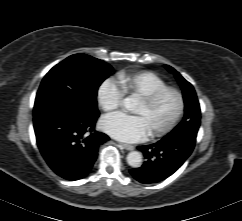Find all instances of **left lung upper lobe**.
Listing matches in <instances>:
<instances>
[{
	"instance_id": "left-lung-upper-lobe-1",
	"label": "left lung upper lobe",
	"mask_w": 242,
	"mask_h": 221,
	"mask_svg": "<svg viewBox=\"0 0 242 221\" xmlns=\"http://www.w3.org/2000/svg\"><path fill=\"white\" fill-rule=\"evenodd\" d=\"M166 69L173 72L177 81L181 85L183 90V97L185 103V115L183 120L179 123L175 129L170 132L169 136L180 135H197L200 127V106L193 86L186 81L177 71L172 67L165 65Z\"/></svg>"
}]
</instances>
